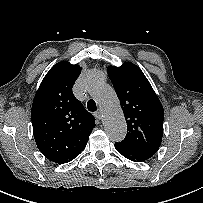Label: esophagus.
Returning a JSON list of instances; mask_svg holds the SVG:
<instances>
[{"mask_svg":"<svg viewBox=\"0 0 203 203\" xmlns=\"http://www.w3.org/2000/svg\"><path fill=\"white\" fill-rule=\"evenodd\" d=\"M95 116H96L97 119L101 120L102 117H103V112H102V110H98V111L96 112Z\"/></svg>","mask_w":203,"mask_h":203,"instance_id":"1","label":"esophagus"}]
</instances>
